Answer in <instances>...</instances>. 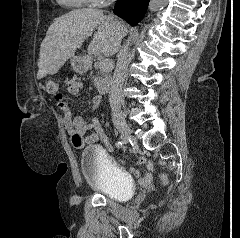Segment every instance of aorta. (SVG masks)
<instances>
[{
    "label": "aorta",
    "mask_w": 240,
    "mask_h": 238,
    "mask_svg": "<svg viewBox=\"0 0 240 238\" xmlns=\"http://www.w3.org/2000/svg\"><path fill=\"white\" fill-rule=\"evenodd\" d=\"M167 0H150L149 3V10L150 11H158L159 9H161L162 7L165 6Z\"/></svg>",
    "instance_id": "1"
}]
</instances>
